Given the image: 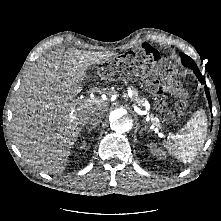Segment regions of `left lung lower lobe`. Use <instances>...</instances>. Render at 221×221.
<instances>
[{"label": "left lung lower lobe", "instance_id": "left-lung-lower-lobe-1", "mask_svg": "<svg viewBox=\"0 0 221 221\" xmlns=\"http://www.w3.org/2000/svg\"><path fill=\"white\" fill-rule=\"evenodd\" d=\"M194 70V73L196 74V76L198 77L199 81L202 83V84H205V79L204 77L202 76V74L200 73L198 67H193L192 68ZM205 93H206V96H207V99L209 101V106H210V109H212V106H211V99H210V94H209V89L207 88V86H205Z\"/></svg>", "mask_w": 221, "mask_h": 221}]
</instances>
